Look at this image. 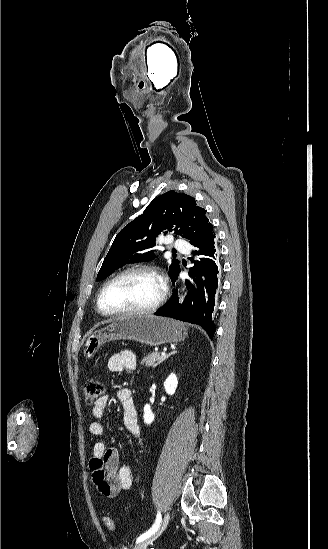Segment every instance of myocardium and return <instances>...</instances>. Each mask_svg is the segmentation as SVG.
Masks as SVG:
<instances>
[{"label": "myocardium", "mask_w": 328, "mask_h": 549, "mask_svg": "<svg viewBox=\"0 0 328 549\" xmlns=\"http://www.w3.org/2000/svg\"><path fill=\"white\" fill-rule=\"evenodd\" d=\"M160 268H163V267L160 264H157L154 262H135V263H131L124 266L114 276H112L101 288L98 295L97 306H96L98 312L105 317L120 319V318H125L130 316L150 315L158 311L168 292L167 282L163 277V275L161 274V272L159 271ZM137 270L148 272L159 281L160 292L158 297L150 305L143 308L129 309L124 311H114L108 308L104 303V296L107 289L124 274L129 273L131 271H137Z\"/></svg>", "instance_id": "myocardium-1"}]
</instances>
